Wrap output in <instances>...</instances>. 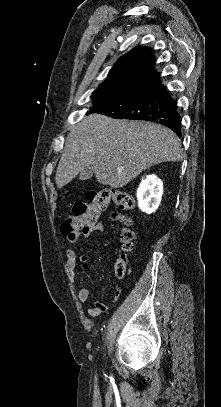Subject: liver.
<instances>
[{"mask_svg":"<svg viewBox=\"0 0 221 407\" xmlns=\"http://www.w3.org/2000/svg\"><path fill=\"white\" fill-rule=\"evenodd\" d=\"M182 158L181 141L167 127L95 113L72 127L55 181L62 188L89 169L98 183L121 188L153 165Z\"/></svg>","mask_w":221,"mask_h":407,"instance_id":"liver-1","label":"liver"}]
</instances>
